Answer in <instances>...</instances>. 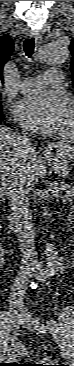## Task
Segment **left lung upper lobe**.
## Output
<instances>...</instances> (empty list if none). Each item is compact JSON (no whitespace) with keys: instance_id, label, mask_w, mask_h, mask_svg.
Instances as JSON below:
<instances>
[{"instance_id":"5c2ea615","label":"left lung upper lobe","mask_w":74,"mask_h":366,"mask_svg":"<svg viewBox=\"0 0 74 366\" xmlns=\"http://www.w3.org/2000/svg\"><path fill=\"white\" fill-rule=\"evenodd\" d=\"M70 51L72 53L71 71H72V83L74 87V38L71 41Z\"/></svg>"}]
</instances>
